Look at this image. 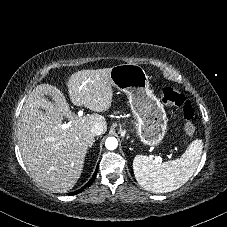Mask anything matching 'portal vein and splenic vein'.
Returning <instances> with one entry per match:
<instances>
[{
	"label": "portal vein and splenic vein",
	"mask_w": 227,
	"mask_h": 227,
	"mask_svg": "<svg viewBox=\"0 0 227 227\" xmlns=\"http://www.w3.org/2000/svg\"><path fill=\"white\" fill-rule=\"evenodd\" d=\"M81 116H83V111H82V110H80V111L78 112V117H81ZM61 127H62L63 129H64V128H68V127H69V124H62ZM155 159H156L157 161H159L161 158H160L159 156H156Z\"/></svg>",
	"instance_id": "18ae733b"
}]
</instances>
